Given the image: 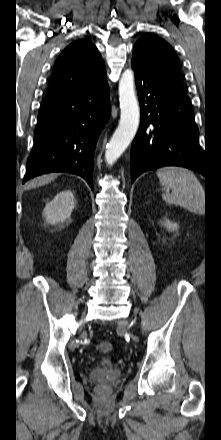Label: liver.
I'll use <instances>...</instances> for the list:
<instances>
[{"label": "liver", "instance_id": "6515ba94", "mask_svg": "<svg viewBox=\"0 0 221 440\" xmlns=\"http://www.w3.org/2000/svg\"><path fill=\"white\" fill-rule=\"evenodd\" d=\"M57 177V174H49V175H43L41 177H37L35 179H33L32 181H30L26 188L30 189V188H35L41 185H45L51 181H53L55 178Z\"/></svg>", "mask_w": 221, "mask_h": 440}]
</instances>
